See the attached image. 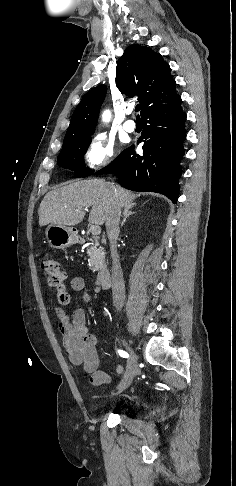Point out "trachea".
<instances>
[{"mask_svg": "<svg viewBox=\"0 0 236 486\" xmlns=\"http://www.w3.org/2000/svg\"><path fill=\"white\" fill-rule=\"evenodd\" d=\"M139 110H140V105L138 104V105H136V107H135V111H136V112H138ZM139 118H140V117H139V115H138V116H137V119H139Z\"/></svg>", "mask_w": 236, "mask_h": 486, "instance_id": "trachea-1", "label": "trachea"}]
</instances>
